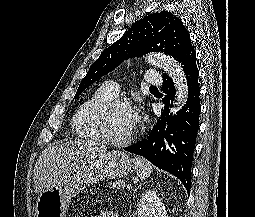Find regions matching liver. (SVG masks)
<instances>
[{
    "mask_svg": "<svg viewBox=\"0 0 255 217\" xmlns=\"http://www.w3.org/2000/svg\"><path fill=\"white\" fill-rule=\"evenodd\" d=\"M107 154L105 145L85 140L49 146L34 167V192L42 193L60 185L69 176L100 161Z\"/></svg>",
    "mask_w": 255,
    "mask_h": 217,
    "instance_id": "liver-1",
    "label": "liver"
}]
</instances>
